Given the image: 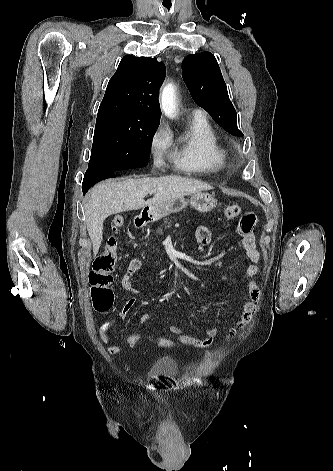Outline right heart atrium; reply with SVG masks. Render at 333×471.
Returning a JSON list of instances; mask_svg holds the SVG:
<instances>
[{
  "label": "right heart atrium",
  "mask_w": 333,
  "mask_h": 471,
  "mask_svg": "<svg viewBox=\"0 0 333 471\" xmlns=\"http://www.w3.org/2000/svg\"><path fill=\"white\" fill-rule=\"evenodd\" d=\"M170 144V135L168 129L159 125L150 137L149 148L154 163L161 164Z\"/></svg>",
  "instance_id": "1"
}]
</instances>
